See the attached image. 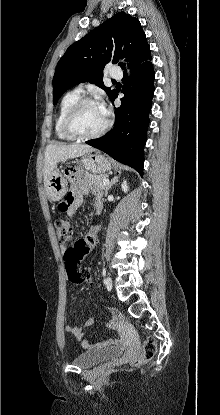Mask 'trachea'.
<instances>
[{
    "label": "trachea",
    "mask_w": 220,
    "mask_h": 415,
    "mask_svg": "<svg viewBox=\"0 0 220 415\" xmlns=\"http://www.w3.org/2000/svg\"><path fill=\"white\" fill-rule=\"evenodd\" d=\"M112 82H116V80H112Z\"/></svg>",
    "instance_id": "obj_1"
}]
</instances>
